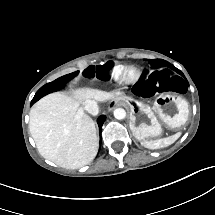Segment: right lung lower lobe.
Segmentation results:
<instances>
[{
	"mask_svg": "<svg viewBox=\"0 0 215 215\" xmlns=\"http://www.w3.org/2000/svg\"><path fill=\"white\" fill-rule=\"evenodd\" d=\"M105 116L104 115H102V116H100V118L98 119V125H99V130H100V132H101V130H102V125H103V123H104V121H105Z\"/></svg>",
	"mask_w": 215,
	"mask_h": 215,
	"instance_id": "1",
	"label": "right lung lower lobe"
}]
</instances>
